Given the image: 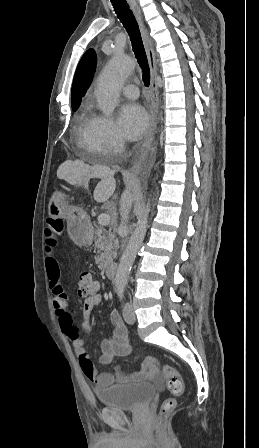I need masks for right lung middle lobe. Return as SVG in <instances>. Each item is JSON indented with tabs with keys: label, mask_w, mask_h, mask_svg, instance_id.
I'll list each match as a JSON object with an SVG mask.
<instances>
[{
	"label": "right lung middle lobe",
	"mask_w": 259,
	"mask_h": 448,
	"mask_svg": "<svg viewBox=\"0 0 259 448\" xmlns=\"http://www.w3.org/2000/svg\"><path fill=\"white\" fill-rule=\"evenodd\" d=\"M77 108H73V110L75 111Z\"/></svg>",
	"instance_id": "right-lung-middle-lobe-1"
}]
</instances>
